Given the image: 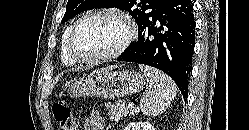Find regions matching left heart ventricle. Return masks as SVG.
I'll list each match as a JSON object with an SVG mask.
<instances>
[{"label": "left heart ventricle", "mask_w": 249, "mask_h": 130, "mask_svg": "<svg viewBox=\"0 0 249 130\" xmlns=\"http://www.w3.org/2000/svg\"><path fill=\"white\" fill-rule=\"evenodd\" d=\"M126 34L127 27L118 18L91 17L79 26L73 41V50L84 57L106 54L116 49Z\"/></svg>", "instance_id": "b2bd125f"}]
</instances>
